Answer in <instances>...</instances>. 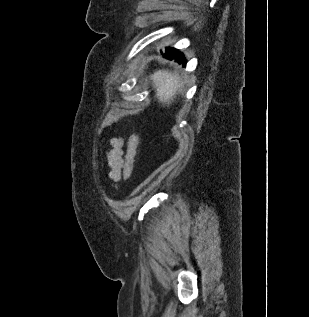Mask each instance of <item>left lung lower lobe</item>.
Returning <instances> with one entry per match:
<instances>
[{"mask_svg": "<svg viewBox=\"0 0 309 317\" xmlns=\"http://www.w3.org/2000/svg\"><path fill=\"white\" fill-rule=\"evenodd\" d=\"M164 57L170 60L175 59V61H177L178 63H183V65H186V58L184 57V55L178 51L177 49L174 48H167L166 52L164 54Z\"/></svg>", "mask_w": 309, "mask_h": 317, "instance_id": "0a47b994", "label": "left lung lower lobe"}]
</instances>
